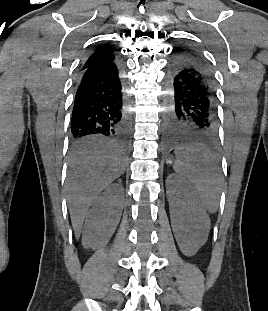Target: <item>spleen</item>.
Segmentation results:
<instances>
[{"label":"spleen","mask_w":268,"mask_h":311,"mask_svg":"<svg viewBox=\"0 0 268 311\" xmlns=\"http://www.w3.org/2000/svg\"><path fill=\"white\" fill-rule=\"evenodd\" d=\"M174 170L193 183L202 205L215 213L219 205L221 168L213 148L201 144L180 147L175 151Z\"/></svg>","instance_id":"1"}]
</instances>
